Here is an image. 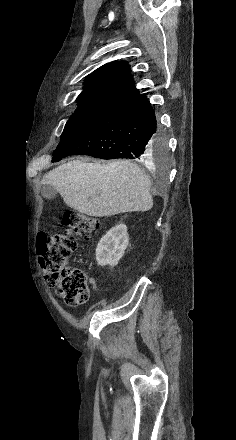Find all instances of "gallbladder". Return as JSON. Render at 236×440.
<instances>
[{"mask_svg": "<svg viewBox=\"0 0 236 440\" xmlns=\"http://www.w3.org/2000/svg\"><path fill=\"white\" fill-rule=\"evenodd\" d=\"M42 196L47 200H53L57 196L56 189L49 184H44L41 190Z\"/></svg>", "mask_w": 236, "mask_h": 440, "instance_id": "bac80fb5", "label": "gallbladder"}]
</instances>
